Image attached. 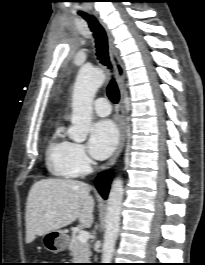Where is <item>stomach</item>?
I'll return each mask as SVG.
<instances>
[{
    "instance_id": "obj_1",
    "label": "stomach",
    "mask_w": 205,
    "mask_h": 265,
    "mask_svg": "<svg viewBox=\"0 0 205 265\" xmlns=\"http://www.w3.org/2000/svg\"><path fill=\"white\" fill-rule=\"evenodd\" d=\"M43 246L50 252L58 253L66 249L67 239L60 230H55L43 235Z\"/></svg>"
}]
</instances>
